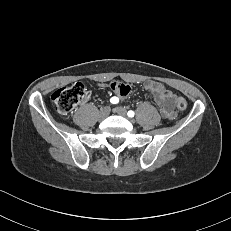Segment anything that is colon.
Wrapping results in <instances>:
<instances>
[{
    "label": "colon",
    "instance_id": "colon-1",
    "mask_svg": "<svg viewBox=\"0 0 231 231\" xmlns=\"http://www.w3.org/2000/svg\"><path fill=\"white\" fill-rule=\"evenodd\" d=\"M88 96V91L83 83L77 82L65 86L53 92L51 99L57 112L63 117H69L76 106L83 102ZM187 101L183 97H177L176 106L183 111L187 108Z\"/></svg>",
    "mask_w": 231,
    "mask_h": 231
}]
</instances>
